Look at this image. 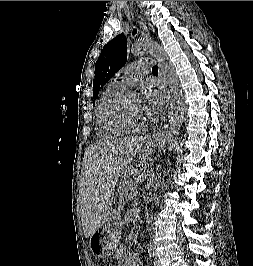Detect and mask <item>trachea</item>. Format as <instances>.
<instances>
[{
  "instance_id": "3493384b",
  "label": "trachea",
  "mask_w": 253,
  "mask_h": 266,
  "mask_svg": "<svg viewBox=\"0 0 253 266\" xmlns=\"http://www.w3.org/2000/svg\"><path fill=\"white\" fill-rule=\"evenodd\" d=\"M152 73L158 74V67L156 65L152 67Z\"/></svg>"
}]
</instances>
